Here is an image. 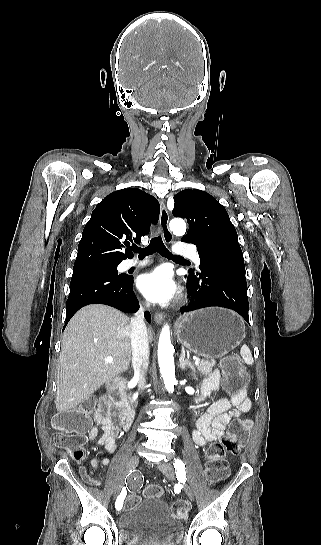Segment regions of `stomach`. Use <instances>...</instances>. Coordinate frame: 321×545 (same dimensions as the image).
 <instances>
[{
	"instance_id": "0dacf381",
	"label": "stomach",
	"mask_w": 321,
	"mask_h": 545,
	"mask_svg": "<svg viewBox=\"0 0 321 545\" xmlns=\"http://www.w3.org/2000/svg\"><path fill=\"white\" fill-rule=\"evenodd\" d=\"M177 339L195 355L218 359L245 339V325L233 311L210 307L186 313L176 323Z\"/></svg>"
}]
</instances>
